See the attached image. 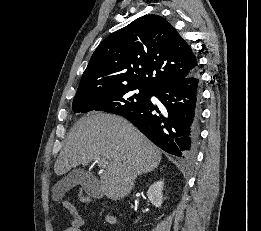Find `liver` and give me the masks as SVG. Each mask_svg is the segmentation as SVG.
Wrapping results in <instances>:
<instances>
[{
    "label": "liver",
    "instance_id": "liver-1",
    "mask_svg": "<svg viewBox=\"0 0 261 231\" xmlns=\"http://www.w3.org/2000/svg\"><path fill=\"white\" fill-rule=\"evenodd\" d=\"M161 151L126 119L105 113L80 118L67 135L55 165L62 175L79 165L105 159L99 187L111 199L127 196L138 175L154 170Z\"/></svg>",
    "mask_w": 261,
    "mask_h": 231
}]
</instances>
